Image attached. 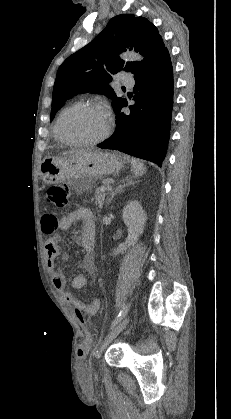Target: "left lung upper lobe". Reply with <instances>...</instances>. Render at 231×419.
Wrapping results in <instances>:
<instances>
[{"instance_id": "1", "label": "left lung upper lobe", "mask_w": 231, "mask_h": 419, "mask_svg": "<svg viewBox=\"0 0 231 419\" xmlns=\"http://www.w3.org/2000/svg\"><path fill=\"white\" fill-rule=\"evenodd\" d=\"M134 49L144 56L141 62H127L119 53ZM165 51L162 37L148 19L133 14L112 18L106 28L88 45L69 56L59 67L52 95V120L64 102L74 95L93 92L112 98L115 111L125 100L116 97L108 85L110 74L124 70L134 77L147 70Z\"/></svg>"}]
</instances>
